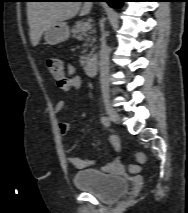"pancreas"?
Masks as SVG:
<instances>
[{
    "instance_id": "1",
    "label": "pancreas",
    "mask_w": 188,
    "mask_h": 213,
    "mask_svg": "<svg viewBox=\"0 0 188 213\" xmlns=\"http://www.w3.org/2000/svg\"><path fill=\"white\" fill-rule=\"evenodd\" d=\"M84 24L85 22H82V21L76 22L75 25L72 27L71 32L74 38L85 41L84 46L91 47L92 43L95 42V38L92 40V42H90V34H93L95 30H91V26H90L88 30L83 31ZM87 51H88L87 49H84L82 51V54H85ZM94 52H95V48H93L89 54L82 55L80 57V63L82 65L87 64L92 57H95Z\"/></svg>"
}]
</instances>
